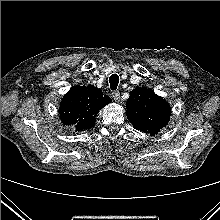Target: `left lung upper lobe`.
Instances as JSON below:
<instances>
[{
    "mask_svg": "<svg viewBox=\"0 0 220 220\" xmlns=\"http://www.w3.org/2000/svg\"><path fill=\"white\" fill-rule=\"evenodd\" d=\"M126 107L127 118L132 125L150 135L157 134L165 127L171 116L168 103L149 88L134 89L126 102Z\"/></svg>",
    "mask_w": 220,
    "mask_h": 220,
    "instance_id": "1",
    "label": "left lung upper lobe"
}]
</instances>
